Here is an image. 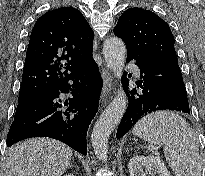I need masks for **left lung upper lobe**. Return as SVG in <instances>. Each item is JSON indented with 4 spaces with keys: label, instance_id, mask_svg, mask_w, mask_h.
I'll list each match as a JSON object with an SVG mask.
<instances>
[{
    "label": "left lung upper lobe",
    "instance_id": "obj_1",
    "mask_svg": "<svg viewBox=\"0 0 205 176\" xmlns=\"http://www.w3.org/2000/svg\"><path fill=\"white\" fill-rule=\"evenodd\" d=\"M114 34L124 41L129 53L151 62L178 63L169 25L151 11L126 10L119 18Z\"/></svg>",
    "mask_w": 205,
    "mask_h": 176
}]
</instances>
